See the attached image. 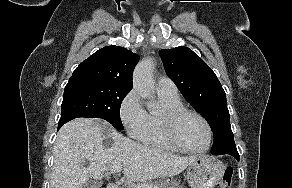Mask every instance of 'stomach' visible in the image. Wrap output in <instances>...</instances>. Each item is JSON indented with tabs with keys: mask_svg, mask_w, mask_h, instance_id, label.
I'll use <instances>...</instances> for the list:
<instances>
[{
	"mask_svg": "<svg viewBox=\"0 0 292 188\" xmlns=\"http://www.w3.org/2000/svg\"><path fill=\"white\" fill-rule=\"evenodd\" d=\"M225 165L219 159L203 155L187 168V181L191 188H214L222 179Z\"/></svg>",
	"mask_w": 292,
	"mask_h": 188,
	"instance_id": "1",
	"label": "stomach"
}]
</instances>
